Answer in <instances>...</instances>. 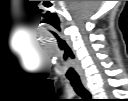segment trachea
I'll use <instances>...</instances> for the list:
<instances>
[{
    "label": "trachea",
    "mask_w": 128,
    "mask_h": 101,
    "mask_svg": "<svg viewBox=\"0 0 128 101\" xmlns=\"http://www.w3.org/2000/svg\"><path fill=\"white\" fill-rule=\"evenodd\" d=\"M67 78L71 82L75 92L82 98V101H89L91 96L88 90L83 86L81 80L73 66H68L66 73Z\"/></svg>",
    "instance_id": "3493384b"
}]
</instances>
